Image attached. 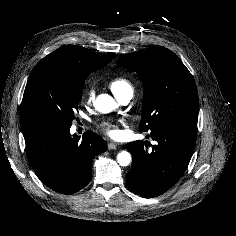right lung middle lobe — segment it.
Masks as SVG:
<instances>
[{"instance_id":"dd1d6c3e","label":"right lung middle lobe","mask_w":236,"mask_h":236,"mask_svg":"<svg viewBox=\"0 0 236 236\" xmlns=\"http://www.w3.org/2000/svg\"><path fill=\"white\" fill-rule=\"evenodd\" d=\"M88 75L31 73L20 111L22 132L40 128L69 129Z\"/></svg>"}]
</instances>
